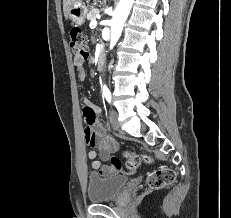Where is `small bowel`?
Segmentation results:
<instances>
[{
  "mask_svg": "<svg viewBox=\"0 0 231 218\" xmlns=\"http://www.w3.org/2000/svg\"><path fill=\"white\" fill-rule=\"evenodd\" d=\"M86 60V56L75 55L74 57V63L78 67L77 74H80L81 81L85 80L86 69H83V66ZM84 103L83 114L88 125L83 129V138L86 144L95 146L98 150H90L87 153V158L90 160L92 168L98 174L102 176L110 175L116 172V170H112L109 166H103L100 160L107 161L111 159L112 161L114 159L112 153L116 149V144L105 135L102 126L95 123L96 114L101 113V108L92 105L86 97H84Z\"/></svg>",
  "mask_w": 231,
  "mask_h": 218,
  "instance_id": "1",
  "label": "small bowel"
}]
</instances>
